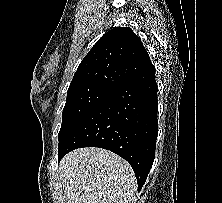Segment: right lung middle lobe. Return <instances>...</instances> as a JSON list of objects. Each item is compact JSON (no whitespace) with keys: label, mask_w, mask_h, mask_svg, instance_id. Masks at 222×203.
Here are the masks:
<instances>
[{"label":"right lung middle lobe","mask_w":222,"mask_h":203,"mask_svg":"<svg viewBox=\"0 0 222 203\" xmlns=\"http://www.w3.org/2000/svg\"><path fill=\"white\" fill-rule=\"evenodd\" d=\"M112 92L96 87L68 90L58 140L85 115L105 101Z\"/></svg>","instance_id":"right-lung-middle-lobe-1"}]
</instances>
